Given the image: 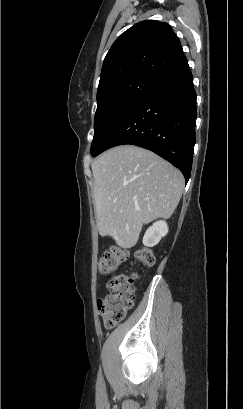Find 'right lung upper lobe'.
<instances>
[{"label": "right lung upper lobe", "instance_id": "obj_1", "mask_svg": "<svg viewBox=\"0 0 243 409\" xmlns=\"http://www.w3.org/2000/svg\"><path fill=\"white\" fill-rule=\"evenodd\" d=\"M180 41L165 22L146 20L122 33L107 53L97 99L112 85L135 77L159 80L183 58Z\"/></svg>", "mask_w": 243, "mask_h": 409}]
</instances>
